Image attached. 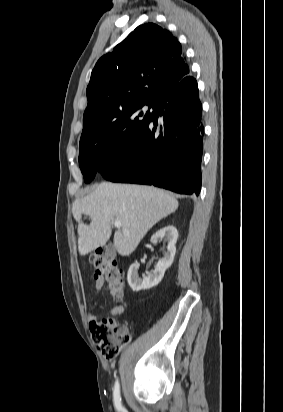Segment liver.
<instances>
[{"mask_svg": "<svg viewBox=\"0 0 283 412\" xmlns=\"http://www.w3.org/2000/svg\"><path fill=\"white\" fill-rule=\"evenodd\" d=\"M178 208L171 194L155 187L103 182L84 198L74 201L72 213L78 222V250L86 255L109 240L114 221L121 230L114 234V246L122 256L130 255L147 232ZM91 219L82 222V215Z\"/></svg>", "mask_w": 283, "mask_h": 412, "instance_id": "1", "label": "liver"}]
</instances>
